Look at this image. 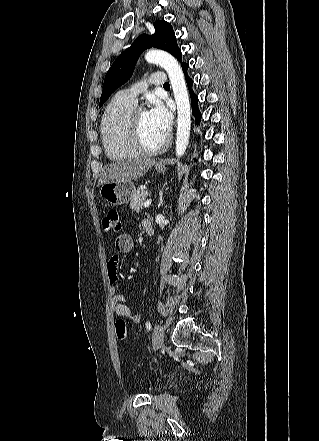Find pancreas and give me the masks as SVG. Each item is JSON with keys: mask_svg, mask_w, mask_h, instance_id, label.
I'll use <instances>...</instances> for the list:
<instances>
[{"mask_svg": "<svg viewBox=\"0 0 319 441\" xmlns=\"http://www.w3.org/2000/svg\"><path fill=\"white\" fill-rule=\"evenodd\" d=\"M146 197L147 192L142 189H138L130 201V208L132 211L139 213L143 208Z\"/></svg>", "mask_w": 319, "mask_h": 441, "instance_id": "1", "label": "pancreas"}]
</instances>
